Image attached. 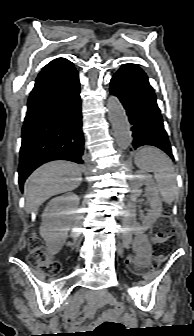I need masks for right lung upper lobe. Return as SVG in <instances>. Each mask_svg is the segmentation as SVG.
I'll return each mask as SVG.
<instances>
[{"label":"right lung upper lobe","instance_id":"1","mask_svg":"<svg viewBox=\"0 0 194 336\" xmlns=\"http://www.w3.org/2000/svg\"><path fill=\"white\" fill-rule=\"evenodd\" d=\"M65 62H68L67 59H64V58H58V59H55L53 61H51L49 64H47L44 69H47L49 67H52V66H55V65H58V64H61V63H65ZM43 69V70H44Z\"/></svg>","mask_w":194,"mask_h":336}]
</instances>
